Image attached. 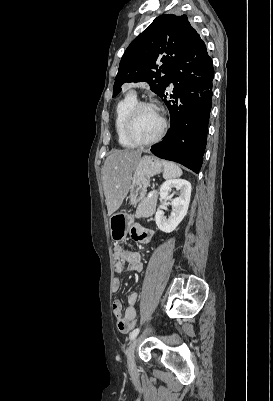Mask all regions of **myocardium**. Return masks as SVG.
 <instances>
[{"label": "myocardium", "mask_w": 273, "mask_h": 401, "mask_svg": "<svg viewBox=\"0 0 273 401\" xmlns=\"http://www.w3.org/2000/svg\"><path fill=\"white\" fill-rule=\"evenodd\" d=\"M141 108L154 109V110H156V111H158L160 113L161 118H162V127H161L160 132L155 137H153L151 139H148V140H141V139L135 137L133 135V133H132V130H131L134 118H135L137 112ZM167 129H168V123H167L166 118L162 115L160 108L158 106H156L155 104H153V103L144 102V101L137 102L133 106V108L130 110V112H129V114H128V116H127V118H126V120H125V122L123 124V134H124L125 138L129 142H131V143H133V144H135L137 146H149V145H152V144H155V143L159 142L164 137V135L166 134Z\"/></svg>", "instance_id": "1"}]
</instances>
